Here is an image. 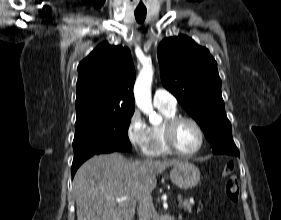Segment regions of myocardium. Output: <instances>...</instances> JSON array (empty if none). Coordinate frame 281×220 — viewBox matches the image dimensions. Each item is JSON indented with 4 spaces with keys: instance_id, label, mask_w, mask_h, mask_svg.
<instances>
[{
    "instance_id": "obj_1",
    "label": "myocardium",
    "mask_w": 281,
    "mask_h": 220,
    "mask_svg": "<svg viewBox=\"0 0 281 220\" xmlns=\"http://www.w3.org/2000/svg\"><path fill=\"white\" fill-rule=\"evenodd\" d=\"M181 122H189L192 125L195 126L199 133V144L198 146L189 152L182 151L178 148L175 142V130L176 127L181 123ZM163 137H164V142L167 146V148L172 152L180 156H193L197 154L203 147L204 145V140H205V135L202 126L200 123L195 120L192 117L189 116H181V115H176L170 119H168L163 126Z\"/></svg>"
}]
</instances>
